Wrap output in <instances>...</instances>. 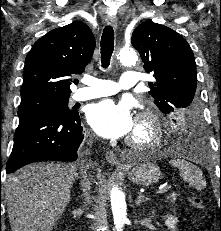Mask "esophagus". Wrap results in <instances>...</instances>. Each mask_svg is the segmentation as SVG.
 Wrapping results in <instances>:
<instances>
[{"label": "esophagus", "instance_id": "34e87169", "mask_svg": "<svg viewBox=\"0 0 221 231\" xmlns=\"http://www.w3.org/2000/svg\"><path fill=\"white\" fill-rule=\"evenodd\" d=\"M107 23L111 25L114 29L117 28L118 23H117V18L115 16L109 15L107 17ZM105 158L107 162L110 163L111 165H119L117 157L113 151H107L105 153Z\"/></svg>", "mask_w": 221, "mask_h": 231}]
</instances>
